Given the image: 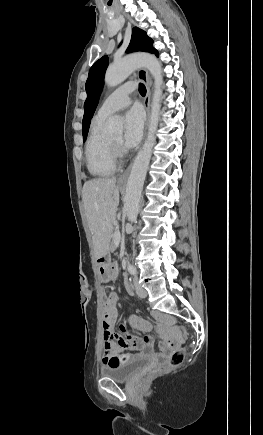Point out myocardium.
I'll use <instances>...</instances> for the list:
<instances>
[{
    "label": "myocardium",
    "mask_w": 263,
    "mask_h": 435,
    "mask_svg": "<svg viewBox=\"0 0 263 435\" xmlns=\"http://www.w3.org/2000/svg\"><path fill=\"white\" fill-rule=\"evenodd\" d=\"M108 144L116 163L119 162L122 155L120 144H115L110 139H108Z\"/></svg>",
    "instance_id": "f54148a6"
}]
</instances>
